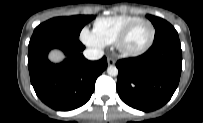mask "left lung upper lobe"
Masks as SVG:
<instances>
[{
    "instance_id": "5c2ea615",
    "label": "left lung upper lobe",
    "mask_w": 203,
    "mask_h": 123,
    "mask_svg": "<svg viewBox=\"0 0 203 123\" xmlns=\"http://www.w3.org/2000/svg\"><path fill=\"white\" fill-rule=\"evenodd\" d=\"M147 18L152 22L156 30L154 42L166 36L178 34L175 28L164 19L152 15H147Z\"/></svg>"
}]
</instances>
